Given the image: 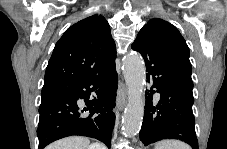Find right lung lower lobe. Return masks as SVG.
I'll use <instances>...</instances> for the list:
<instances>
[{"label":"right lung lower lobe","mask_w":227,"mask_h":149,"mask_svg":"<svg viewBox=\"0 0 227 149\" xmlns=\"http://www.w3.org/2000/svg\"><path fill=\"white\" fill-rule=\"evenodd\" d=\"M117 83L113 60L101 70L63 87L42 101L37 128L39 149L72 135L95 138L110 148ZM78 99L84 100L85 108L78 107ZM86 111L88 116L83 114Z\"/></svg>","instance_id":"1"}]
</instances>
